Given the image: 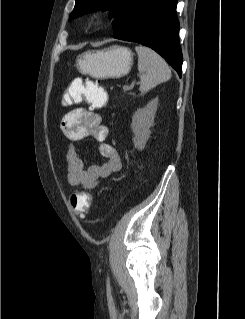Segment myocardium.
I'll return each mask as SVG.
<instances>
[{"instance_id": "1", "label": "myocardium", "mask_w": 245, "mask_h": 319, "mask_svg": "<svg viewBox=\"0 0 245 319\" xmlns=\"http://www.w3.org/2000/svg\"><path fill=\"white\" fill-rule=\"evenodd\" d=\"M106 16L102 13H95L90 18V24L93 27H101L106 23Z\"/></svg>"}]
</instances>
